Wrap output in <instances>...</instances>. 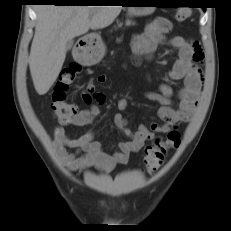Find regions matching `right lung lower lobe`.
<instances>
[{
  "label": "right lung lower lobe",
  "mask_w": 231,
  "mask_h": 231,
  "mask_svg": "<svg viewBox=\"0 0 231 231\" xmlns=\"http://www.w3.org/2000/svg\"><path fill=\"white\" fill-rule=\"evenodd\" d=\"M36 3H54L55 5H76L71 0H32Z\"/></svg>",
  "instance_id": "obj_1"
}]
</instances>
